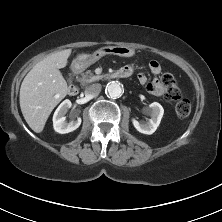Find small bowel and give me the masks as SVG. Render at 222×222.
<instances>
[{"mask_svg": "<svg viewBox=\"0 0 222 222\" xmlns=\"http://www.w3.org/2000/svg\"><path fill=\"white\" fill-rule=\"evenodd\" d=\"M148 66H149L150 71L155 75L159 74L161 71L160 64L155 60L150 61ZM122 68L129 69L132 73V69H133L132 66L127 65ZM138 80L141 84H146L148 92L151 93L152 95L160 96L163 94L164 88L161 82L157 78L153 79L151 82H147L146 75L143 73H140L138 74Z\"/></svg>", "mask_w": 222, "mask_h": 222, "instance_id": "c3829d8e", "label": "small bowel"}]
</instances>
